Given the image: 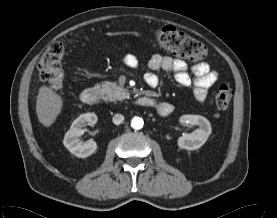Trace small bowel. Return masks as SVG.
Returning <instances> with one entry per match:
<instances>
[{
    "label": "small bowel",
    "instance_id": "c3829d8e",
    "mask_svg": "<svg viewBox=\"0 0 277 218\" xmlns=\"http://www.w3.org/2000/svg\"><path fill=\"white\" fill-rule=\"evenodd\" d=\"M124 61L125 64L131 68H135L139 64L138 58L132 54L126 55ZM148 66L151 72H147L144 75V80L148 86L156 87L158 85L159 79L154 73L155 71L162 70L166 72H174L176 82L184 87L191 86L193 95L198 102H204L206 100L208 89L215 84L218 79L217 72L211 70L206 62L195 64L191 68V73H189L188 65L183 59L154 54L150 58ZM162 102L171 105L168 102ZM158 113L163 115L160 110Z\"/></svg>",
    "mask_w": 277,
    "mask_h": 218
}]
</instances>
